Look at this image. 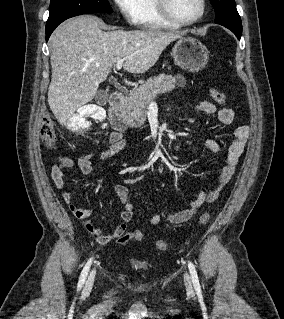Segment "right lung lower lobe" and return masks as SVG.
<instances>
[{"instance_id":"1","label":"right lung lower lobe","mask_w":284,"mask_h":319,"mask_svg":"<svg viewBox=\"0 0 284 319\" xmlns=\"http://www.w3.org/2000/svg\"><path fill=\"white\" fill-rule=\"evenodd\" d=\"M58 25H59V24H58ZM58 25H55V26H53V27H51V28L46 29V41H48V39H49L51 33L54 31V29H55Z\"/></svg>"}]
</instances>
